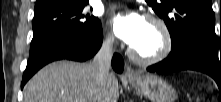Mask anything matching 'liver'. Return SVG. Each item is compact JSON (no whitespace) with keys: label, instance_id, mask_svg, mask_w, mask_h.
I'll use <instances>...</instances> for the list:
<instances>
[{"label":"liver","instance_id":"1","mask_svg":"<svg viewBox=\"0 0 221 102\" xmlns=\"http://www.w3.org/2000/svg\"><path fill=\"white\" fill-rule=\"evenodd\" d=\"M23 102H117L118 80L113 74L100 81L92 63L67 60L42 68L24 87Z\"/></svg>","mask_w":221,"mask_h":102}]
</instances>
